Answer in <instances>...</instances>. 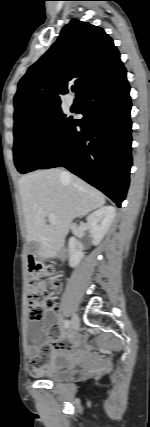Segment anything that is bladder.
<instances>
[{"mask_svg": "<svg viewBox=\"0 0 150 427\" xmlns=\"http://www.w3.org/2000/svg\"><path fill=\"white\" fill-rule=\"evenodd\" d=\"M76 374V367L65 354L58 355L50 364L47 380L51 382H63Z\"/></svg>", "mask_w": 150, "mask_h": 427, "instance_id": "obj_1", "label": "bladder"}]
</instances>
